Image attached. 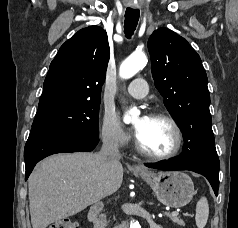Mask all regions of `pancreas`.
Masks as SVG:
<instances>
[{
    "mask_svg": "<svg viewBox=\"0 0 238 228\" xmlns=\"http://www.w3.org/2000/svg\"><path fill=\"white\" fill-rule=\"evenodd\" d=\"M168 217L170 218V220L173 223L178 224V225H184V221L179 216L169 215Z\"/></svg>",
    "mask_w": 238,
    "mask_h": 228,
    "instance_id": "cf45deb5",
    "label": "pancreas"
}]
</instances>
